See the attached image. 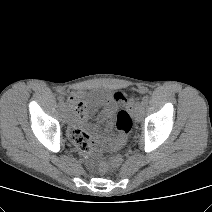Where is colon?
<instances>
[{
	"mask_svg": "<svg viewBox=\"0 0 212 212\" xmlns=\"http://www.w3.org/2000/svg\"><path fill=\"white\" fill-rule=\"evenodd\" d=\"M114 99L118 102L130 104V96L128 93L123 91H117L114 93ZM69 107L74 114H82L86 111V104L84 100L78 97H71L69 99ZM133 121L129 111L122 110L117 115L116 128L119 133L117 137L118 146H121L127 135L132 129ZM77 144V143H76ZM122 163V156L120 154H114L109 163H100L98 170L100 173H105L110 167H118Z\"/></svg>",
	"mask_w": 212,
	"mask_h": 212,
	"instance_id": "5ec220e1",
	"label": "colon"
}]
</instances>
